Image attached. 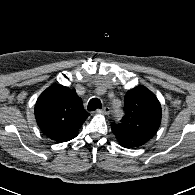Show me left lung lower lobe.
Returning a JSON list of instances; mask_svg holds the SVG:
<instances>
[{
  "instance_id": "obj_1",
  "label": "left lung lower lobe",
  "mask_w": 195,
  "mask_h": 195,
  "mask_svg": "<svg viewBox=\"0 0 195 195\" xmlns=\"http://www.w3.org/2000/svg\"><path fill=\"white\" fill-rule=\"evenodd\" d=\"M117 140H118V139H117ZM118 141H119V140H118ZM119 143H120L121 146H123V147H125V148H130V147H128L126 144H124V143H122V142H120V141H119Z\"/></svg>"
}]
</instances>
